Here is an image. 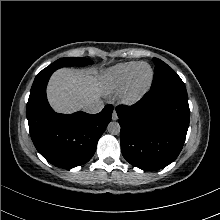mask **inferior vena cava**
<instances>
[{"mask_svg":"<svg viewBox=\"0 0 220 220\" xmlns=\"http://www.w3.org/2000/svg\"><path fill=\"white\" fill-rule=\"evenodd\" d=\"M103 108H104L103 101L96 99L87 103L84 107V111L89 114H96L101 112Z\"/></svg>","mask_w":220,"mask_h":220,"instance_id":"inferior-vena-cava-1","label":"inferior vena cava"}]
</instances>
